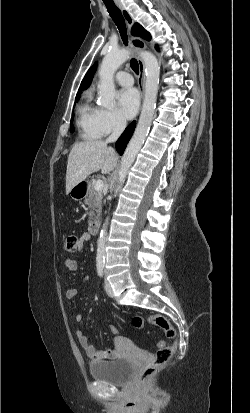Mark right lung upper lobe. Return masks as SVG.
<instances>
[{
	"label": "right lung upper lobe",
	"mask_w": 250,
	"mask_h": 413,
	"mask_svg": "<svg viewBox=\"0 0 250 413\" xmlns=\"http://www.w3.org/2000/svg\"><path fill=\"white\" fill-rule=\"evenodd\" d=\"M96 69H97V62H95L94 65H93V66L88 70V72L86 73L84 79H83L82 82H81V86H80V88H79V91H78L76 97H77V96H80L81 91L84 90V89H86V88L90 85Z\"/></svg>",
	"instance_id": "1"
}]
</instances>
